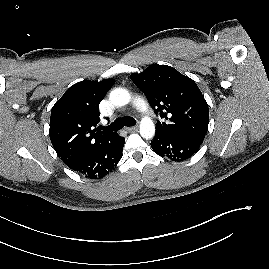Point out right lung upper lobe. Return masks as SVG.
Wrapping results in <instances>:
<instances>
[{"instance_id":"1","label":"right lung upper lobe","mask_w":269,"mask_h":269,"mask_svg":"<svg viewBox=\"0 0 269 269\" xmlns=\"http://www.w3.org/2000/svg\"><path fill=\"white\" fill-rule=\"evenodd\" d=\"M113 84V79L78 82L53 106L49 136L68 167L116 136V132L96 131L99 103Z\"/></svg>"}]
</instances>
